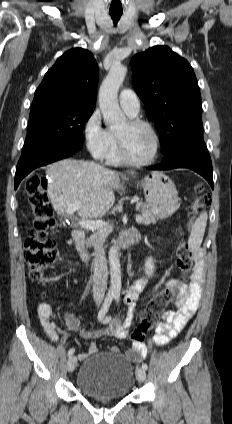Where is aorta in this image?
Returning <instances> with one entry per match:
<instances>
[{"mask_svg":"<svg viewBox=\"0 0 232 424\" xmlns=\"http://www.w3.org/2000/svg\"><path fill=\"white\" fill-rule=\"evenodd\" d=\"M127 73V68L121 64L113 65L99 90V106L104 122L111 127L125 123L126 117L118 104V90ZM110 292L119 294L121 291V265L118 251L115 247L109 250Z\"/></svg>","mask_w":232,"mask_h":424,"instance_id":"obj_1","label":"aorta"}]
</instances>
